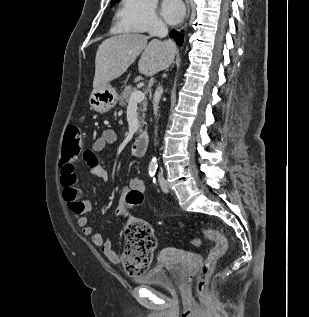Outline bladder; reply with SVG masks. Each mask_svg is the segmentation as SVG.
<instances>
[{
    "instance_id": "bladder-1",
    "label": "bladder",
    "mask_w": 309,
    "mask_h": 317,
    "mask_svg": "<svg viewBox=\"0 0 309 317\" xmlns=\"http://www.w3.org/2000/svg\"><path fill=\"white\" fill-rule=\"evenodd\" d=\"M135 282L178 289L184 282V272L180 263H158L145 273L138 275Z\"/></svg>"
}]
</instances>
